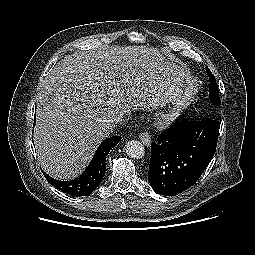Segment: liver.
<instances>
[{"label": "liver", "instance_id": "obj_1", "mask_svg": "<svg viewBox=\"0 0 255 255\" xmlns=\"http://www.w3.org/2000/svg\"><path fill=\"white\" fill-rule=\"evenodd\" d=\"M187 77L185 65L146 46L68 55L43 81L34 132L41 167L57 179L77 177L112 131L115 117L132 107L187 102L193 96Z\"/></svg>", "mask_w": 255, "mask_h": 255}]
</instances>
